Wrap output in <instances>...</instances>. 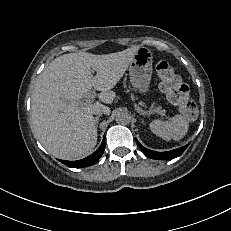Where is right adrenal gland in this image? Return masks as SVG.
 <instances>
[{"instance_id":"2a0ac1e0","label":"right adrenal gland","mask_w":231,"mask_h":231,"mask_svg":"<svg viewBox=\"0 0 231 231\" xmlns=\"http://www.w3.org/2000/svg\"><path fill=\"white\" fill-rule=\"evenodd\" d=\"M100 114L99 115H97L96 117H95V124H96V130H97V128H98V123H99V118H100Z\"/></svg>"}]
</instances>
